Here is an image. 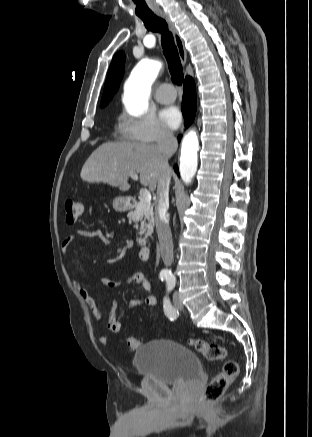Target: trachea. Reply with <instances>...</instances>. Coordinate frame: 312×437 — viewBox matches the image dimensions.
Instances as JSON below:
<instances>
[{
    "label": "trachea",
    "instance_id": "obj_1",
    "mask_svg": "<svg viewBox=\"0 0 312 437\" xmlns=\"http://www.w3.org/2000/svg\"><path fill=\"white\" fill-rule=\"evenodd\" d=\"M139 17L148 30L161 33V44L172 81L176 85H182L184 79L182 65L173 36L171 32L168 31L166 21L155 14L139 15Z\"/></svg>",
    "mask_w": 312,
    "mask_h": 437
}]
</instances>
